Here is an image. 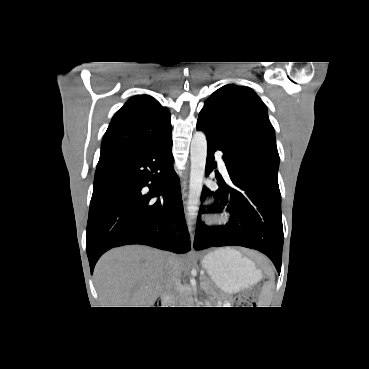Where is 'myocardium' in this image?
<instances>
[{"mask_svg":"<svg viewBox=\"0 0 369 369\" xmlns=\"http://www.w3.org/2000/svg\"><path fill=\"white\" fill-rule=\"evenodd\" d=\"M214 223H224L228 220V216L225 213H217L211 217Z\"/></svg>","mask_w":369,"mask_h":369,"instance_id":"myocardium-1","label":"myocardium"}]
</instances>
